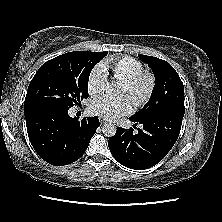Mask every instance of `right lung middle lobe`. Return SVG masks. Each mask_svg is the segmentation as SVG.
Instances as JSON below:
<instances>
[{
  "label": "right lung middle lobe",
  "mask_w": 222,
  "mask_h": 222,
  "mask_svg": "<svg viewBox=\"0 0 222 222\" xmlns=\"http://www.w3.org/2000/svg\"><path fill=\"white\" fill-rule=\"evenodd\" d=\"M107 53L75 51L45 62L29 84L24 113L69 109L88 98L90 72Z\"/></svg>",
  "instance_id": "obj_1"
}]
</instances>
